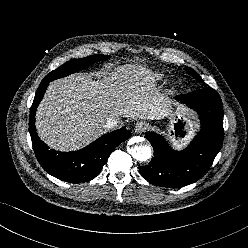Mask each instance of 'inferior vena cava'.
Here are the masks:
<instances>
[{
	"label": "inferior vena cava",
	"mask_w": 248,
	"mask_h": 248,
	"mask_svg": "<svg viewBox=\"0 0 248 248\" xmlns=\"http://www.w3.org/2000/svg\"><path fill=\"white\" fill-rule=\"evenodd\" d=\"M118 124H119V121H118L117 119L109 118V119L106 121L104 127H105L106 129H114V128H116V127L118 126Z\"/></svg>",
	"instance_id": "1"
}]
</instances>
